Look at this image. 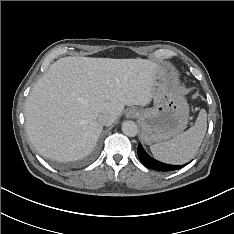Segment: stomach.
<instances>
[{
    "mask_svg": "<svg viewBox=\"0 0 234 234\" xmlns=\"http://www.w3.org/2000/svg\"><path fill=\"white\" fill-rule=\"evenodd\" d=\"M154 106L142 109L139 123L141 138L147 144L165 142L187 126L189 107L179 91L175 75L158 65L153 88Z\"/></svg>",
    "mask_w": 234,
    "mask_h": 234,
    "instance_id": "0dacf381",
    "label": "stomach"
}]
</instances>
